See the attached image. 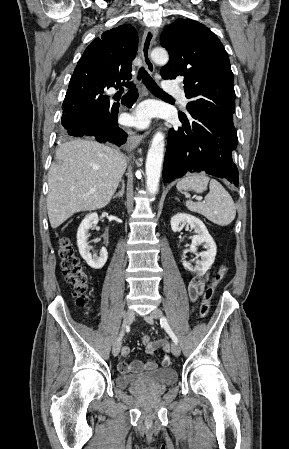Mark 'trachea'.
I'll return each mask as SVG.
<instances>
[{
  "mask_svg": "<svg viewBox=\"0 0 289 449\" xmlns=\"http://www.w3.org/2000/svg\"><path fill=\"white\" fill-rule=\"evenodd\" d=\"M138 79H142L143 83L146 87L154 93L166 94L152 79V77L148 74V72L141 67L138 72Z\"/></svg>",
  "mask_w": 289,
  "mask_h": 449,
  "instance_id": "1",
  "label": "trachea"
}]
</instances>
